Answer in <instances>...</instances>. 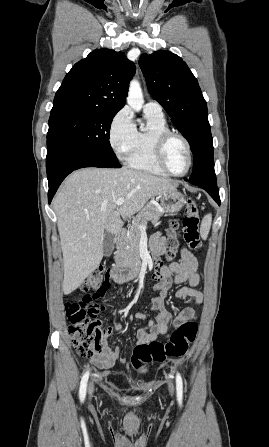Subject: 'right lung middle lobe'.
<instances>
[{
  "instance_id": "right-lung-middle-lobe-1",
  "label": "right lung middle lobe",
  "mask_w": 269,
  "mask_h": 447,
  "mask_svg": "<svg viewBox=\"0 0 269 447\" xmlns=\"http://www.w3.org/2000/svg\"><path fill=\"white\" fill-rule=\"evenodd\" d=\"M116 113L105 111L51 113L47 136H55L116 158L109 142L111 122Z\"/></svg>"
}]
</instances>
